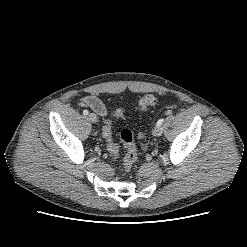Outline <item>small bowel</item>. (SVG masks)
I'll use <instances>...</instances> for the list:
<instances>
[{
	"label": "small bowel",
	"mask_w": 247,
	"mask_h": 247,
	"mask_svg": "<svg viewBox=\"0 0 247 247\" xmlns=\"http://www.w3.org/2000/svg\"><path fill=\"white\" fill-rule=\"evenodd\" d=\"M81 105L91 108L94 112L101 116H105L108 112L106 105L99 98L93 95L84 97L81 100Z\"/></svg>",
	"instance_id": "c3829d8e"
}]
</instances>
